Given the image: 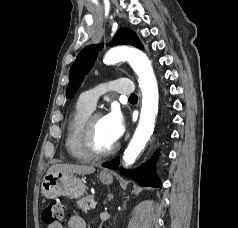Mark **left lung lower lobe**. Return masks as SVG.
<instances>
[{
  "label": "left lung lower lobe",
  "instance_id": "0a47b994",
  "mask_svg": "<svg viewBox=\"0 0 238 228\" xmlns=\"http://www.w3.org/2000/svg\"><path fill=\"white\" fill-rule=\"evenodd\" d=\"M154 161H148L139 167L136 170L126 171L122 167L119 168V171L126 177H129L141 186H153L161 187L159 179L156 177L153 169ZM103 167L110 169H118L119 167V158H116L108 163L103 164Z\"/></svg>",
  "mask_w": 238,
  "mask_h": 228
}]
</instances>
